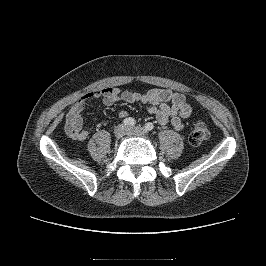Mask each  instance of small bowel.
Returning <instances> with one entry per match:
<instances>
[{
	"label": "small bowel",
	"mask_w": 266,
	"mask_h": 266,
	"mask_svg": "<svg viewBox=\"0 0 266 266\" xmlns=\"http://www.w3.org/2000/svg\"><path fill=\"white\" fill-rule=\"evenodd\" d=\"M96 99H101L105 106H110L119 101L126 103L141 102L161 125L170 123L177 131L183 129L184 119L192 113V108L185 96L170 89L154 88L140 94L115 87H106L84 94L70 107L65 118V129L72 139L83 141L88 137L89 131L84 128L82 113L87 102ZM119 116L124 118L126 112L120 111Z\"/></svg>",
	"instance_id": "1"
}]
</instances>
